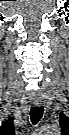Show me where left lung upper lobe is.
Listing matches in <instances>:
<instances>
[{
	"label": "left lung upper lobe",
	"instance_id": "left-lung-upper-lobe-1",
	"mask_svg": "<svg viewBox=\"0 0 69 135\" xmlns=\"http://www.w3.org/2000/svg\"><path fill=\"white\" fill-rule=\"evenodd\" d=\"M60 116L62 117V116H64V114H61Z\"/></svg>",
	"mask_w": 69,
	"mask_h": 135
}]
</instances>
